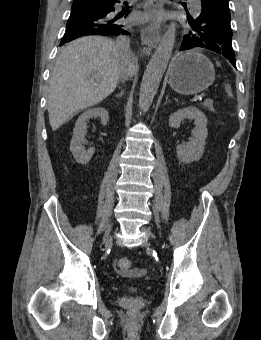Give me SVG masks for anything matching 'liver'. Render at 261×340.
Instances as JSON below:
<instances>
[{"mask_svg":"<svg viewBox=\"0 0 261 340\" xmlns=\"http://www.w3.org/2000/svg\"><path fill=\"white\" fill-rule=\"evenodd\" d=\"M126 69L133 74L134 62L123 56L111 39L86 36L71 42L50 77L47 108L52 130L108 97Z\"/></svg>","mask_w":261,"mask_h":340,"instance_id":"1","label":"liver"}]
</instances>
